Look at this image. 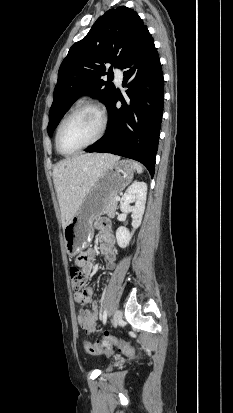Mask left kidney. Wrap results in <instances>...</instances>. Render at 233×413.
Masks as SVG:
<instances>
[{
    "label": "left kidney",
    "mask_w": 233,
    "mask_h": 413,
    "mask_svg": "<svg viewBox=\"0 0 233 413\" xmlns=\"http://www.w3.org/2000/svg\"><path fill=\"white\" fill-rule=\"evenodd\" d=\"M147 196V184L145 182L135 181L133 184L126 190L120 202V210L124 213H132V227L133 231L125 227H119L116 231L117 243L121 248L128 246L132 235L137 229L142 221V217L145 210ZM131 203H135L134 206H130Z\"/></svg>",
    "instance_id": "obj_1"
}]
</instances>
